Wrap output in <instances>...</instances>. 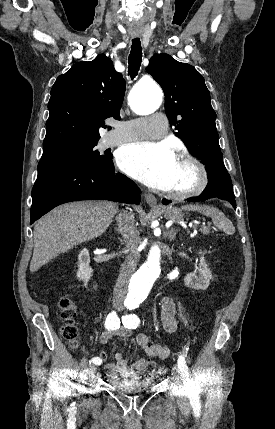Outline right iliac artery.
<instances>
[{
  "mask_svg": "<svg viewBox=\"0 0 275 429\" xmlns=\"http://www.w3.org/2000/svg\"><path fill=\"white\" fill-rule=\"evenodd\" d=\"M105 328L108 330H116L120 328V319L117 316L116 312H111L105 321ZM95 363L96 365H100L102 363V359L100 357H94L90 360V363Z\"/></svg>",
  "mask_w": 275,
  "mask_h": 429,
  "instance_id": "1",
  "label": "right iliac artery"
}]
</instances>
